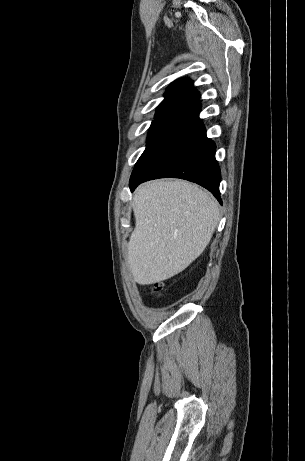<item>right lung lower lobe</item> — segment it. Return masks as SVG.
<instances>
[{
    "mask_svg": "<svg viewBox=\"0 0 305 461\" xmlns=\"http://www.w3.org/2000/svg\"><path fill=\"white\" fill-rule=\"evenodd\" d=\"M200 107L188 109L165 139L136 164L130 178L132 191L144 181L174 177L203 186L221 203L216 145L206 137L205 127L199 118Z\"/></svg>",
    "mask_w": 305,
    "mask_h": 461,
    "instance_id": "right-lung-lower-lobe-1",
    "label": "right lung lower lobe"
}]
</instances>
